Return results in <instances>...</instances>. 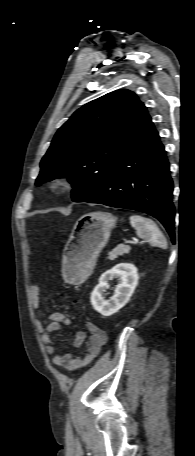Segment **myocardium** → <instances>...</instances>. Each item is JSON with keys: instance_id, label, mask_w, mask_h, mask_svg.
<instances>
[{"instance_id": "myocardium-1", "label": "myocardium", "mask_w": 195, "mask_h": 456, "mask_svg": "<svg viewBox=\"0 0 195 456\" xmlns=\"http://www.w3.org/2000/svg\"><path fill=\"white\" fill-rule=\"evenodd\" d=\"M65 186L64 178H55L51 181V187L54 189H62Z\"/></svg>"}]
</instances>
